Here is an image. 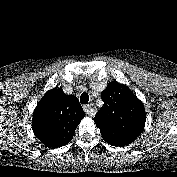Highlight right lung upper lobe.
I'll return each instance as SVG.
<instances>
[{
	"mask_svg": "<svg viewBox=\"0 0 177 177\" xmlns=\"http://www.w3.org/2000/svg\"><path fill=\"white\" fill-rule=\"evenodd\" d=\"M84 117L77 98L55 87L38 102L33 113L32 129L43 144L56 148L71 141L77 125Z\"/></svg>",
	"mask_w": 177,
	"mask_h": 177,
	"instance_id": "1",
	"label": "right lung upper lobe"
}]
</instances>
